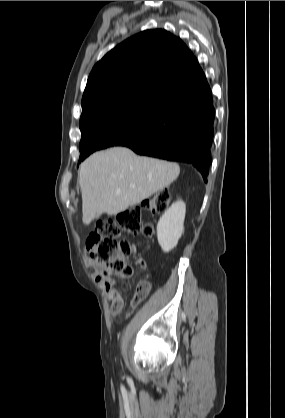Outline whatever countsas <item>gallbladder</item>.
<instances>
[{
    "label": "gallbladder",
    "mask_w": 285,
    "mask_h": 418,
    "mask_svg": "<svg viewBox=\"0 0 285 418\" xmlns=\"http://www.w3.org/2000/svg\"><path fill=\"white\" fill-rule=\"evenodd\" d=\"M99 216H100V214H96V215H94V216H93V218H92V219H94V218H98ZM92 219H91V220H92ZM91 220H90V221H91ZM90 221H88L87 223H89Z\"/></svg>",
    "instance_id": "gallbladder-1"
}]
</instances>
